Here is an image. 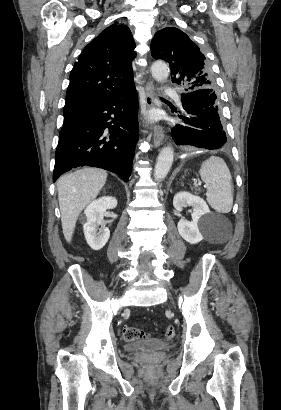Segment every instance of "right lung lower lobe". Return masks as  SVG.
<instances>
[{"mask_svg":"<svg viewBox=\"0 0 281 410\" xmlns=\"http://www.w3.org/2000/svg\"><path fill=\"white\" fill-rule=\"evenodd\" d=\"M137 114L138 96L133 85L64 120L55 152L53 181L64 172L85 165L109 170L128 181L138 140Z\"/></svg>","mask_w":281,"mask_h":410,"instance_id":"right-lung-lower-lobe-1","label":"right lung lower lobe"}]
</instances>
